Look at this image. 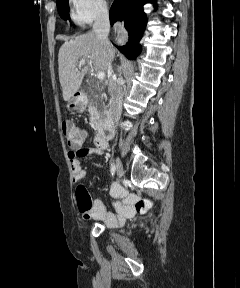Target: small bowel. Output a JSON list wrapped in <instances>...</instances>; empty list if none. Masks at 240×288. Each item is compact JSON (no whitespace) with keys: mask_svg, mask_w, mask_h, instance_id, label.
<instances>
[{"mask_svg":"<svg viewBox=\"0 0 240 288\" xmlns=\"http://www.w3.org/2000/svg\"><path fill=\"white\" fill-rule=\"evenodd\" d=\"M104 151L105 149L98 145L88 148L82 147V145L71 146L68 158L74 183H79L85 176L79 159L93 153L103 155ZM112 196L115 199V213L108 212L101 200H92L84 185L79 184L76 188L77 206L85 219L102 220L109 226H120L127 218L133 216L137 209H143V205H136L134 197L128 196L126 191L118 185L112 187Z\"/></svg>","mask_w":240,"mask_h":288,"instance_id":"c3829d8e","label":"small bowel"}]
</instances>
